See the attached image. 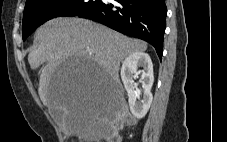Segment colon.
I'll return each instance as SVG.
<instances>
[{"instance_id":"1","label":"colon","mask_w":227,"mask_h":142,"mask_svg":"<svg viewBox=\"0 0 227 142\" xmlns=\"http://www.w3.org/2000/svg\"><path fill=\"white\" fill-rule=\"evenodd\" d=\"M132 118L124 109H120L107 118L104 134L108 142H119L118 131L125 124H131Z\"/></svg>"}]
</instances>
